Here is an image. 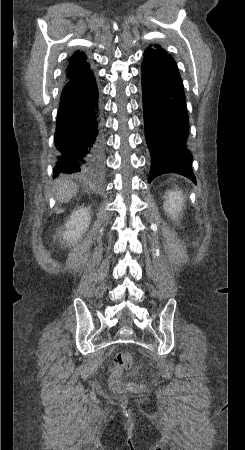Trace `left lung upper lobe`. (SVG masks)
<instances>
[{
    "label": "left lung upper lobe",
    "instance_id": "1",
    "mask_svg": "<svg viewBox=\"0 0 245 450\" xmlns=\"http://www.w3.org/2000/svg\"><path fill=\"white\" fill-rule=\"evenodd\" d=\"M154 47L155 48L148 47L145 50L144 60L153 61L161 58H168L176 65L175 60L172 58L171 55H168L164 49H162L158 45H155Z\"/></svg>",
    "mask_w": 245,
    "mask_h": 450
}]
</instances>
